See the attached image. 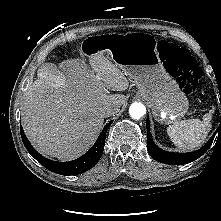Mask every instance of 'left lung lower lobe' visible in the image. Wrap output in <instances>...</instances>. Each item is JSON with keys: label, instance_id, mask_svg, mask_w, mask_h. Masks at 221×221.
Returning a JSON list of instances; mask_svg holds the SVG:
<instances>
[{"label": "left lung lower lobe", "instance_id": "obj_1", "mask_svg": "<svg viewBox=\"0 0 221 221\" xmlns=\"http://www.w3.org/2000/svg\"><path fill=\"white\" fill-rule=\"evenodd\" d=\"M146 127H147V150L149 154L151 155V157L161 163L172 164V165L187 164L198 159L211 146L214 140V137L217 133L216 131L214 135L211 137V139L201 149L197 151L190 152V153H174V152L164 151L155 145L151 136V132H150L149 119L146 120ZM220 132H221V118H220V126H219V133Z\"/></svg>", "mask_w": 221, "mask_h": 221}]
</instances>
